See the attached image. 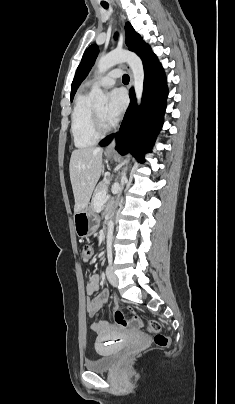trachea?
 I'll list each match as a JSON object with an SVG mask.
<instances>
[{"instance_id": "3493384b", "label": "trachea", "mask_w": 235, "mask_h": 404, "mask_svg": "<svg viewBox=\"0 0 235 404\" xmlns=\"http://www.w3.org/2000/svg\"><path fill=\"white\" fill-rule=\"evenodd\" d=\"M102 7L103 8H105V9H108V5L107 4H102ZM129 76L127 75V74H125V75H123V77H122V81L123 82H125V83H128L129 82Z\"/></svg>"}]
</instances>
